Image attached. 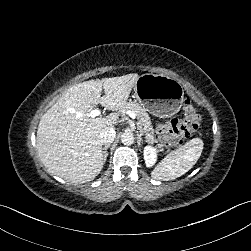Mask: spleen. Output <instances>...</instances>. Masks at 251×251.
<instances>
[{
	"mask_svg": "<svg viewBox=\"0 0 251 251\" xmlns=\"http://www.w3.org/2000/svg\"><path fill=\"white\" fill-rule=\"evenodd\" d=\"M202 148L201 139H191L180 149L169 154L152 172V178L170 180L184 174L197 161Z\"/></svg>",
	"mask_w": 251,
	"mask_h": 251,
	"instance_id": "spleen-1",
	"label": "spleen"
}]
</instances>
